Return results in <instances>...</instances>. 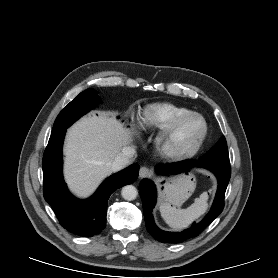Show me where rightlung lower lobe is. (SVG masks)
Listing matches in <instances>:
<instances>
[{"label":"right lung lower lobe","instance_id":"obj_1","mask_svg":"<svg viewBox=\"0 0 278 278\" xmlns=\"http://www.w3.org/2000/svg\"><path fill=\"white\" fill-rule=\"evenodd\" d=\"M66 130L51 134L43 156V194L54 210L62 227L73 234L91 237L106 226L110 195L118 188L133 183L139 165L133 164L107 178L87 200L75 198L67 189L62 175V145Z\"/></svg>","mask_w":278,"mask_h":278}]
</instances>
